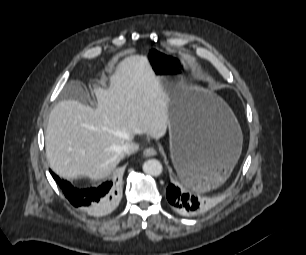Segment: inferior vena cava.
I'll use <instances>...</instances> for the list:
<instances>
[{
	"mask_svg": "<svg viewBox=\"0 0 306 255\" xmlns=\"http://www.w3.org/2000/svg\"><path fill=\"white\" fill-rule=\"evenodd\" d=\"M138 149H139V145L136 144V143H134V142H132V141L127 142V143H125L124 145H122V146L120 147V150H121L124 154H126V155H130V154H132V153L138 151Z\"/></svg>",
	"mask_w": 306,
	"mask_h": 255,
	"instance_id": "1",
	"label": "inferior vena cava"
}]
</instances>
